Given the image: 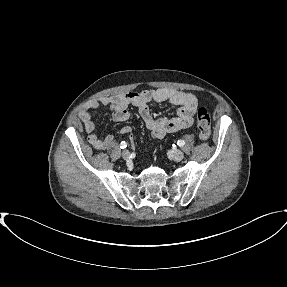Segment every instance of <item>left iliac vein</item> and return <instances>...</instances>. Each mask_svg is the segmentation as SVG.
Masks as SVG:
<instances>
[{
  "label": "left iliac vein",
  "instance_id": "4c4485c4",
  "mask_svg": "<svg viewBox=\"0 0 287 287\" xmlns=\"http://www.w3.org/2000/svg\"><path fill=\"white\" fill-rule=\"evenodd\" d=\"M171 158L174 161H181L184 158V153L180 150H173L171 152Z\"/></svg>",
  "mask_w": 287,
  "mask_h": 287
}]
</instances>
